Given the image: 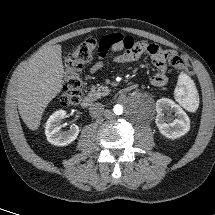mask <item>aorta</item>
I'll return each mask as SVG.
<instances>
[{"mask_svg":"<svg viewBox=\"0 0 215 215\" xmlns=\"http://www.w3.org/2000/svg\"><path fill=\"white\" fill-rule=\"evenodd\" d=\"M113 111L115 115H121L123 113V107L121 105H116Z\"/></svg>","mask_w":215,"mask_h":215,"instance_id":"1","label":"aorta"}]
</instances>
